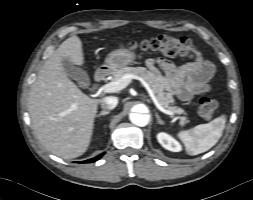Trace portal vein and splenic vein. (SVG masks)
Here are the masks:
<instances>
[{"label": "portal vein and splenic vein", "mask_w": 253, "mask_h": 200, "mask_svg": "<svg viewBox=\"0 0 253 200\" xmlns=\"http://www.w3.org/2000/svg\"><path fill=\"white\" fill-rule=\"evenodd\" d=\"M132 79H137V80L141 81L142 85L146 88L148 94L150 95L153 103L161 112H163L167 115H171V116L174 114L173 112L165 109L163 106L160 105V103L158 102V100H157L156 96L154 95V92L151 89V87L149 86V84L142 77H139V76H135L132 74L125 75L124 77H122L116 81H112V82L105 84L101 88V91H103L105 93L118 92V91L124 89L131 82Z\"/></svg>", "instance_id": "portal-vein-and-splenic-vein-1"}]
</instances>
